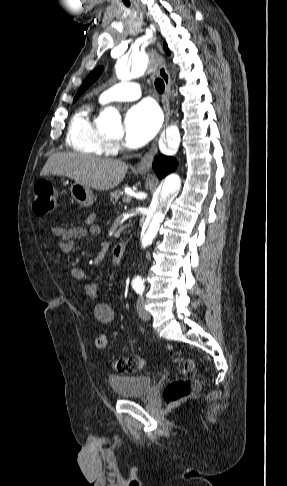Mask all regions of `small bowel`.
Segmentation results:
<instances>
[{
    "mask_svg": "<svg viewBox=\"0 0 287 486\" xmlns=\"http://www.w3.org/2000/svg\"><path fill=\"white\" fill-rule=\"evenodd\" d=\"M81 219L83 224L80 226H57L49 227L51 233L56 236V246L63 253H70L78 239L88 236H97L100 233V227L95 223L96 215L88 216L76 215ZM112 261L119 263L121 259L113 256ZM72 278L81 281L83 295L94 303V315L98 322L108 324L114 319V309L110 304L103 301L99 296V284L95 282H85L88 277L87 272L80 267H74L70 272Z\"/></svg>",
    "mask_w": 287,
    "mask_h": 486,
    "instance_id": "small-bowel-1",
    "label": "small bowel"
}]
</instances>
